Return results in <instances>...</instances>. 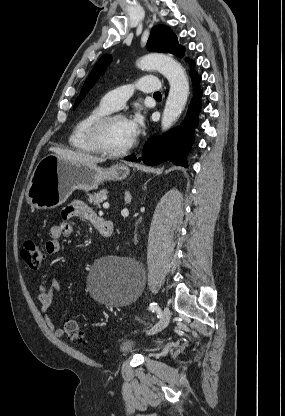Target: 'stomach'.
I'll return each mask as SVG.
<instances>
[{
    "label": "stomach",
    "instance_id": "1",
    "mask_svg": "<svg viewBox=\"0 0 285 416\" xmlns=\"http://www.w3.org/2000/svg\"><path fill=\"white\" fill-rule=\"evenodd\" d=\"M128 166L116 164L99 168L97 164H79L49 154L37 164L27 186V202L37 210H52L66 202L74 190H97L105 180H125Z\"/></svg>",
    "mask_w": 285,
    "mask_h": 416
}]
</instances>
